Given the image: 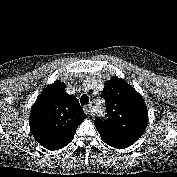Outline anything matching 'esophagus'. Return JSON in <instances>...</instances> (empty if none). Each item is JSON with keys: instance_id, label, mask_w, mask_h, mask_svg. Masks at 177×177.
<instances>
[{"instance_id": "1", "label": "esophagus", "mask_w": 177, "mask_h": 177, "mask_svg": "<svg viewBox=\"0 0 177 177\" xmlns=\"http://www.w3.org/2000/svg\"><path fill=\"white\" fill-rule=\"evenodd\" d=\"M84 111H85L86 114H89V115H92V114H93V113H92V109H91L90 106H85V107H84Z\"/></svg>"}]
</instances>
